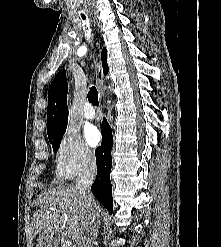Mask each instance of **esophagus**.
Listing matches in <instances>:
<instances>
[{
	"mask_svg": "<svg viewBox=\"0 0 221 247\" xmlns=\"http://www.w3.org/2000/svg\"><path fill=\"white\" fill-rule=\"evenodd\" d=\"M97 83H98V88L101 90L102 84H103V71H102V64L101 62H98L97 64Z\"/></svg>",
	"mask_w": 221,
	"mask_h": 247,
	"instance_id": "34e87169",
	"label": "esophagus"
}]
</instances>
